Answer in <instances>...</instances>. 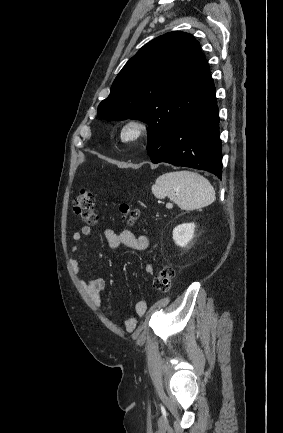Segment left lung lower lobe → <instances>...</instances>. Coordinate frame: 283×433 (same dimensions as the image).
<instances>
[{
  "mask_svg": "<svg viewBox=\"0 0 283 433\" xmlns=\"http://www.w3.org/2000/svg\"><path fill=\"white\" fill-rule=\"evenodd\" d=\"M197 111L148 135L147 153L153 163L206 170L221 179L222 155L215 87L207 65L200 79Z\"/></svg>",
  "mask_w": 283,
  "mask_h": 433,
  "instance_id": "left-lung-lower-lobe-1",
  "label": "left lung lower lobe"
}]
</instances>
